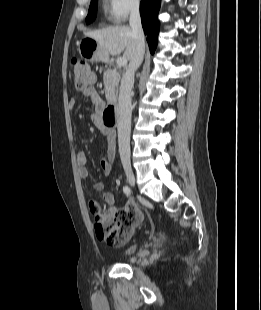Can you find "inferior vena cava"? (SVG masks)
I'll use <instances>...</instances> for the list:
<instances>
[{
	"instance_id": "inferior-vena-cava-1",
	"label": "inferior vena cava",
	"mask_w": 261,
	"mask_h": 310,
	"mask_svg": "<svg viewBox=\"0 0 261 310\" xmlns=\"http://www.w3.org/2000/svg\"><path fill=\"white\" fill-rule=\"evenodd\" d=\"M129 22L136 39V51L126 72L122 76L118 98V146L120 159L124 167L130 166L131 91L134 84V74L141 65L145 53V38L139 4H135L132 7Z\"/></svg>"
}]
</instances>
